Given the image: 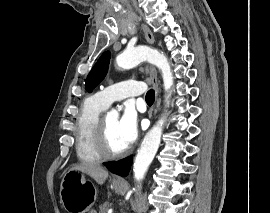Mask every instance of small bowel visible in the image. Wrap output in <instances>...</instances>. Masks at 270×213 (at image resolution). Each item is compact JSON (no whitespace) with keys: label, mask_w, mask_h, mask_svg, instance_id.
Instances as JSON below:
<instances>
[{"label":"small bowel","mask_w":270,"mask_h":213,"mask_svg":"<svg viewBox=\"0 0 270 213\" xmlns=\"http://www.w3.org/2000/svg\"><path fill=\"white\" fill-rule=\"evenodd\" d=\"M90 213H95V211H94V210H92Z\"/></svg>","instance_id":"c3829d8e"}]
</instances>
